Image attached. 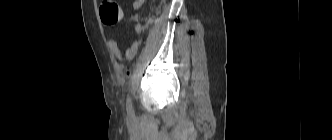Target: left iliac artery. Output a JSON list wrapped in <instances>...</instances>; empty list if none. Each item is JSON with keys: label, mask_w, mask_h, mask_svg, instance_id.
Here are the masks:
<instances>
[{"label": "left iliac artery", "mask_w": 332, "mask_h": 140, "mask_svg": "<svg viewBox=\"0 0 332 140\" xmlns=\"http://www.w3.org/2000/svg\"><path fill=\"white\" fill-rule=\"evenodd\" d=\"M126 108L127 111L131 114L134 113V109H133V104H132V99L130 97V95L127 96V100H126Z\"/></svg>", "instance_id": "left-iliac-artery-1"}]
</instances>
